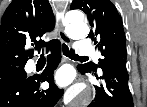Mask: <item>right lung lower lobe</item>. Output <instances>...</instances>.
<instances>
[{
	"label": "right lung lower lobe",
	"instance_id": "right-lung-lower-lobe-1",
	"mask_svg": "<svg viewBox=\"0 0 147 107\" xmlns=\"http://www.w3.org/2000/svg\"><path fill=\"white\" fill-rule=\"evenodd\" d=\"M48 64L41 75L18 78L0 86V107H53L62 97L64 90L57 88L53 72L61 61L60 42L49 46ZM49 83V89L40 90L42 82Z\"/></svg>",
	"mask_w": 147,
	"mask_h": 107
}]
</instances>
